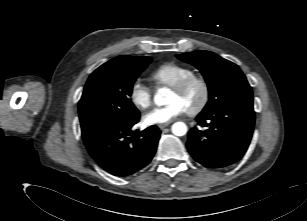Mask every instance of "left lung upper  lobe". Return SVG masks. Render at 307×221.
I'll return each mask as SVG.
<instances>
[{
  "label": "left lung upper lobe",
  "mask_w": 307,
  "mask_h": 221,
  "mask_svg": "<svg viewBox=\"0 0 307 221\" xmlns=\"http://www.w3.org/2000/svg\"><path fill=\"white\" fill-rule=\"evenodd\" d=\"M203 74L209 90V101L202 113L213 112L232 104H253L252 88L240 68L210 51L177 55Z\"/></svg>",
  "instance_id": "obj_1"
}]
</instances>
